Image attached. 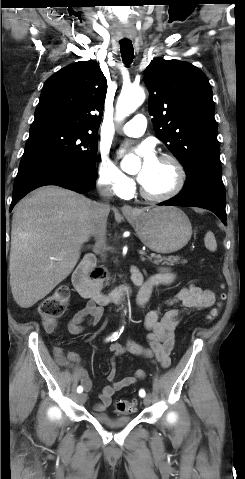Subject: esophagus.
<instances>
[{
	"instance_id": "1",
	"label": "esophagus",
	"mask_w": 245,
	"mask_h": 479,
	"mask_svg": "<svg viewBox=\"0 0 245 479\" xmlns=\"http://www.w3.org/2000/svg\"><path fill=\"white\" fill-rule=\"evenodd\" d=\"M121 210H122L123 214H133L134 213V209L130 205H123Z\"/></svg>"
}]
</instances>
